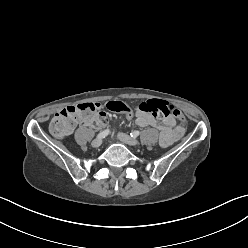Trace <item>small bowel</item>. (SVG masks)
Listing matches in <instances>:
<instances>
[{
	"mask_svg": "<svg viewBox=\"0 0 248 248\" xmlns=\"http://www.w3.org/2000/svg\"><path fill=\"white\" fill-rule=\"evenodd\" d=\"M86 123H90L86 121ZM134 123L138 127H155L159 130V144L168 147L176 142L183 134V130L176 126V121L172 116H167L162 121H158L151 115L136 111L134 113Z\"/></svg>",
	"mask_w": 248,
	"mask_h": 248,
	"instance_id": "1",
	"label": "small bowel"
}]
</instances>
